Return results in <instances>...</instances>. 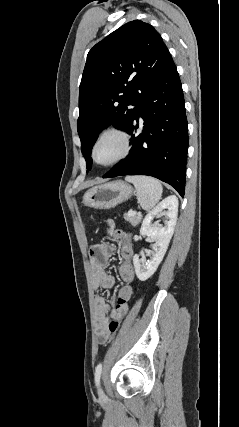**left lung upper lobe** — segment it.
<instances>
[{"label": "left lung upper lobe", "mask_w": 239, "mask_h": 427, "mask_svg": "<svg viewBox=\"0 0 239 427\" xmlns=\"http://www.w3.org/2000/svg\"><path fill=\"white\" fill-rule=\"evenodd\" d=\"M173 65L160 34L140 20L124 24L89 51L77 123L88 171L98 134L111 124L126 131L146 91Z\"/></svg>", "instance_id": "5c2ea615"}]
</instances>
